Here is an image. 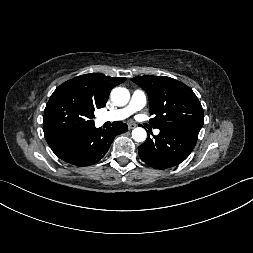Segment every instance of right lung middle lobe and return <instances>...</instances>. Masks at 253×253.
I'll use <instances>...</instances> for the list:
<instances>
[{"label":"right lung middle lobe","mask_w":253,"mask_h":253,"mask_svg":"<svg viewBox=\"0 0 253 253\" xmlns=\"http://www.w3.org/2000/svg\"><path fill=\"white\" fill-rule=\"evenodd\" d=\"M95 109L77 90L60 85L44 110V134L92 126Z\"/></svg>","instance_id":"dd1d6c3e"}]
</instances>
